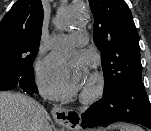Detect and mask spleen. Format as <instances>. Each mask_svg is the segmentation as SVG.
Instances as JSON below:
<instances>
[{"label": "spleen", "mask_w": 151, "mask_h": 131, "mask_svg": "<svg viewBox=\"0 0 151 131\" xmlns=\"http://www.w3.org/2000/svg\"><path fill=\"white\" fill-rule=\"evenodd\" d=\"M108 130L114 131V130H119V131H142L141 128L131 125V124H112L108 126Z\"/></svg>", "instance_id": "3e777b00"}]
</instances>
